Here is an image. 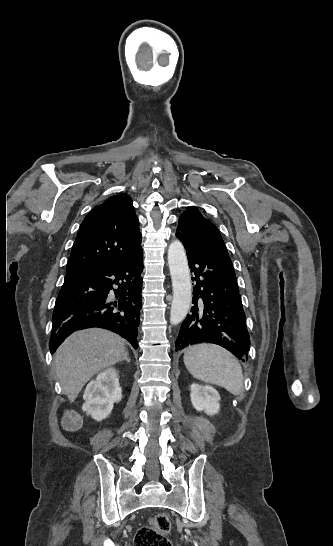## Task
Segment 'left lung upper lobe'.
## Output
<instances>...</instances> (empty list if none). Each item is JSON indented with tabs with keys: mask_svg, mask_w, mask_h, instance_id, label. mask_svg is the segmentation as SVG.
<instances>
[{
	"mask_svg": "<svg viewBox=\"0 0 333 546\" xmlns=\"http://www.w3.org/2000/svg\"><path fill=\"white\" fill-rule=\"evenodd\" d=\"M178 226L204 247L229 256L219 230L209 219L204 218L197 208H187L180 216Z\"/></svg>",
	"mask_w": 333,
	"mask_h": 546,
	"instance_id": "obj_1",
	"label": "left lung upper lobe"
}]
</instances>
